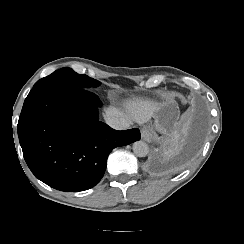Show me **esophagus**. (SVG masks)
<instances>
[{
    "mask_svg": "<svg viewBox=\"0 0 244 244\" xmlns=\"http://www.w3.org/2000/svg\"><path fill=\"white\" fill-rule=\"evenodd\" d=\"M141 137L145 141H150V129L148 127H144L141 129Z\"/></svg>",
    "mask_w": 244,
    "mask_h": 244,
    "instance_id": "34e87169",
    "label": "esophagus"
}]
</instances>
